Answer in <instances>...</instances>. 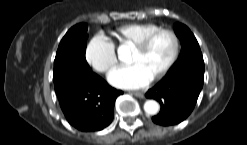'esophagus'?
Masks as SVG:
<instances>
[{"instance_id": "34e87169", "label": "esophagus", "mask_w": 247, "mask_h": 145, "mask_svg": "<svg viewBox=\"0 0 247 145\" xmlns=\"http://www.w3.org/2000/svg\"><path fill=\"white\" fill-rule=\"evenodd\" d=\"M129 93H131L132 95L138 97V98H145V95L143 92L141 91H130Z\"/></svg>"}]
</instances>
